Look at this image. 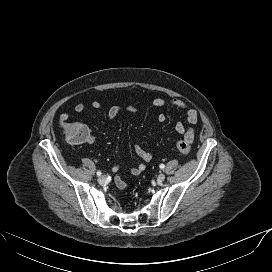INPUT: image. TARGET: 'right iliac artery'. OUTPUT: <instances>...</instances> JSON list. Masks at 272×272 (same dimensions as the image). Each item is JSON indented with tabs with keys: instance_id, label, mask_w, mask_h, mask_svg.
Listing matches in <instances>:
<instances>
[{
	"instance_id": "1",
	"label": "right iliac artery",
	"mask_w": 272,
	"mask_h": 272,
	"mask_svg": "<svg viewBox=\"0 0 272 272\" xmlns=\"http://www.w3.org/2000/svg\"><path fill=\"white\" fill-rule=\"evenodd\" d=\"M101 174H102V173H101L100 171H97V175H98V176H101Z\"/></svg>"
}]
</instances>
